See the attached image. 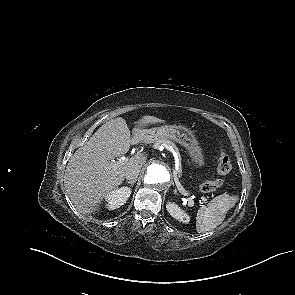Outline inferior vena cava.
I'll list each match as a JSON object with an SVG mask.
<instances>
[{"label":"inferior vena cava","mask_w":295,"mask_h":295,"mask_svg":"<svg viewBox=\"0 0 295 295\" xmlns=\"http://www.w3.org/2000/svg\"><path fill=\"white\" fill-rule=\"evenodd\" d=\"M139 172H140V170L136 167L129 168L125 172V178L130 181L136 180L139 175Z\"/></svg>","instance_id":"obj_1"}]
</instances>
